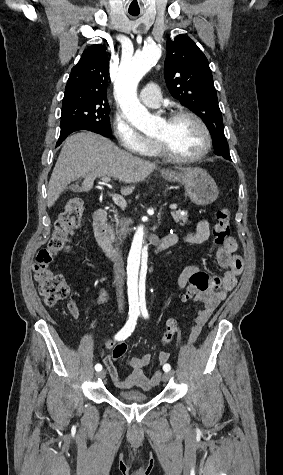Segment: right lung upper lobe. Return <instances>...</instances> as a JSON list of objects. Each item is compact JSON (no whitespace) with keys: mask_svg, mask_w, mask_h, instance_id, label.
I'll return each instance as SVG.
<instances>
[{"mask_svg":"<svg viewBox=\"0 0 283 475\" xmlns=\"http://www.w3.org/2000/svg\"><path fill=\"white\" fill-rule=\"evenodd\" d=\"M108 55L104 45L84 50L80 61L70 73L64 97H106Z\"/></svg>","mask_w":283,"mask_h":475,"instance_id":"1","label":"right lung upper lobe"}]
</instances>
